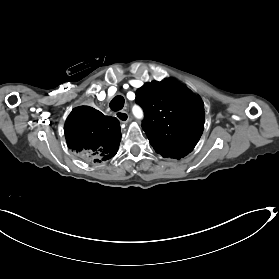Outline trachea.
<instances>
[{"label": "trachea", "instance_id": "1", "mask_svg": "<svg viewBox=\"0 0 279 279\" xmlns=\"http://www.w3.org/2000/svg\"><path fill=\"white\" fill-rule=\"evenodd\" d=\"M124 103H125V100H124V97L123 96H115L110 104H109V107L111 108V110L113 111H119L121 110L123 107H124Z\"/></svg>", "mask_w": 279, "mask_h": 279}]
</instances>
